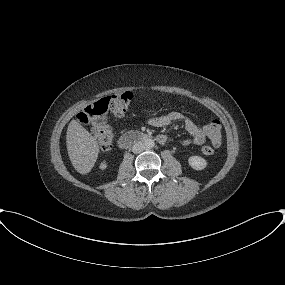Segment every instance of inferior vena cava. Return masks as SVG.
Listing matches in <instances>:
<instances>
[{
  "mask_svg": "<svg viewBox=\"0 0 285 285\" xmlns=\"http://www.w3.org/2000/svg\"><path fill=\"white\" fill-rule=\"evenodd\" d=\"M145 149V145L141 142L135 143L132 147V152L135 154L143 152Z\"/></svg>",
  "mask_w": 285,
  "mask_h": 285,
  "instance_id": "obj_1",
  "label": "inferior vena cava"
}]
</instances>
